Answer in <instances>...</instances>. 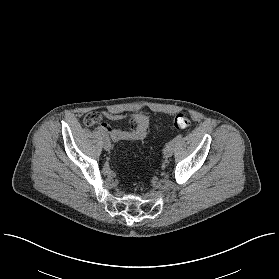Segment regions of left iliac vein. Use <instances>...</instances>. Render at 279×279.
<instances>
[{
  "label": "left iliac vein",
  "mask_w": 279,
  "mask_h": 279,
  "mask_svg": "<svg viewBox=\"0 0 279 279\" xmlns=\"http://www.w3.org/2000/svg\"><path fill=\"white\" fill-rule=\"evenodd\" d=\"M173 152H174V145L168 144L163 150V155L164 157L168 158L173 155Z\"/></svg>",
  "instance_id": "obj_1"
}]
</instances>
